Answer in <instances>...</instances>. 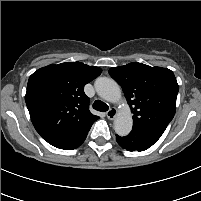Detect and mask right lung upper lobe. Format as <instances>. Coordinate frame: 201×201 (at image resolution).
Here are the masks:
<instances>
[{
	"instance_id": "cb5924a9",
	"label": "right lung upper lobe",
	"mask_w": 201,
	"mask_h": 201,
	"mask_svg": "<svg viewBox=\"0 0 201 201\" xmlns=\"http://www.w3.org/2000/svg\"><path fill=\"white\" fill-rule=\"evenodd\" d=\"M101 72L99 67L66 62L40 68L30 76L25 100L42 138L71 139L90 130L99 117L89 111L84 86Z\"/></svg>"
}]
</instances>
